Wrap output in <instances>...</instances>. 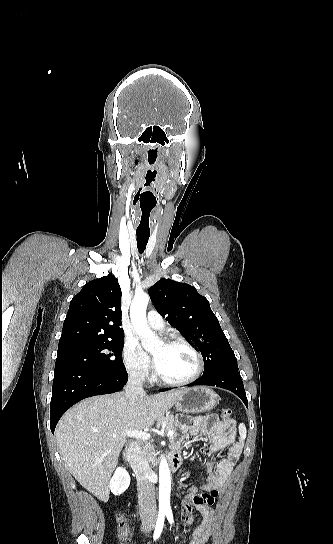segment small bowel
<instances>
[{
    "instance_id": "1",
    "label": "small bowel",
    "mask_w": 333,
    "mask_h": 544,
    "mask_svg": "<svg viewBox=\"0 0 333 544\" xmlns=\"http://www.w3.org/2000/svg\"><path fill=\"white\" fill-rule=\"evenodd\" d=\"M184 435L202 436L209 441L202 454L215 455L228 448V455L217 462H208V479L203 486V493H199L197 487L191 486L182 502V517L187 524L194 520L193 509H197L202 515L200 526L190 536L189 544H205L208 540L212 526L211 505L214 503L219 491L226 484L233 466L238 461L243 447L242 440L236 439V430L233 422L222 423L215 415L197 416L182 425ZM183 438L174 442V448L179 452Z\"/></svg>"
}]
</instances>
